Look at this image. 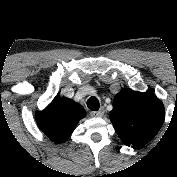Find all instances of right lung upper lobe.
Returning <instances> with one entry per match:
<instances>
[{"label": "right lung upper lobe", "instance_id": "obj_1", "mask_svg": "<svg viewBox=\"0 0 177 177\" xmlns=\"http://www.w3.org/2000/svg\"><path fill=\"white\" fill-rule=\"evenodd\" d=\"M86 115L83 107L67 98L52 101L48 111L37 117L41 130L54 142L65 141L74 131L80 119Z\"/></svg>", "mask_w": 177, "mask_h": 177}]
</instances>
